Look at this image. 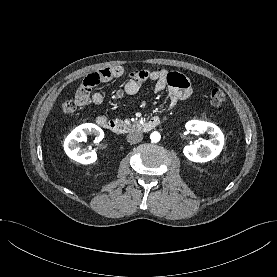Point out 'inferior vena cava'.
<instances>
[{"mask_svg": "<svg viewBox=\"0 0 277 277\" xmlns=\"http://www.w3.org/2000/svg\"><path fill=\"white\" fill-rule=\"evenodd\" d=\"M143 134L140 132H133L127 135V141L131 144H136L142 141Z\"/></svg>", "mask_w": 277, "mask_h": 277, "instance_id": "inferior-vena-cava-1", "label": "inferior vena cava"}]
</instances>
